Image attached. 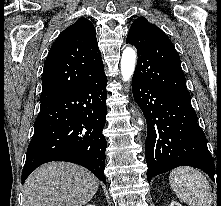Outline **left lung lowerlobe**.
I'll list each match as a JSON object with an SVG mask.
<instances>
[{
	"instance_id": "1",
	"label": "left lung lower lobe",
	"mask_w": 221,
	"mask_h": 206,
	"mask_svg": "<svg viewBox=\"0 0 221 206\" xmlns=\"http://www.w3.org/2000/svg\"><path fill=\"white\" fill-rule=\"evenodd\" d=\"M132 91L147 121L148 182L178 166L199 168L214 180V161L190 98L164 93L134 79Z\"/></svg>"
}]
</instances>
